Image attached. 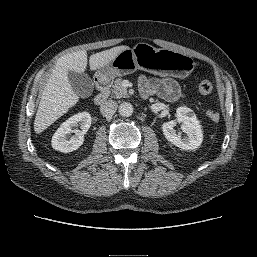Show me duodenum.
I'll return each mask as SVG.
<instances>
[{"label": "duodenum", "instance_id": "1", "mask_svg": "<svg viewBox=\"0 0 257 257\" xmlns=\"http://www.w3.org/2000/svg\"><path fill=\"white\" fill-rule=\"evenodd\" d=\"M96 85L98 88V93L94 98L97 105L103 104L108 98V89L110 85L109 78H99L96 80Z\"/></svg>", "mask_w": 257, "mask_h": 257}]
</instances>
